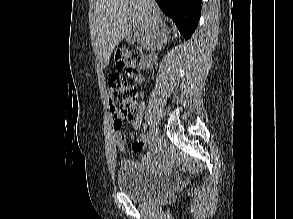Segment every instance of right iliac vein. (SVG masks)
I'll list each match as a JSON object with an SVG mask.
<instances>
[{
  "label": "right iliac vein",
  "instance_id": "1",
  "mask_svg": "<svg viewBox=\"0 0 293 219\" xmlns=\"http://www.w3.org/2000/svg\"><path fill=\"white\" fill-rule=\"evenodd\" d=\"M158 135V129L156 127H152L150 130V140L151 141H155V139L157 138Z\"/></svg>",
  "mask_w": 293,
  "mask_h": 219
}]
</instances>
